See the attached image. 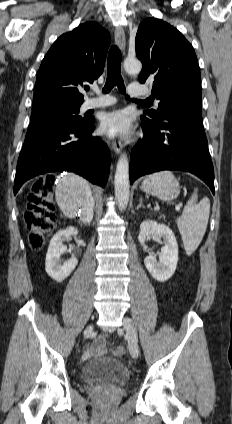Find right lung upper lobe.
<instances>
[{
  "label": "right lung upper lobe",
  "mask_w": 232,
  "mask_h": 424,
  "mask_svg": "<svg viewBox=\"0 0 232 424\" xmlns=\"http://www.w3.org/2000/svg\"><path fill=\"white\" fill-rule=\"evenodd\" d=\"M110 40L108 31L96 22L83 23L60 36L40 65L33 108L81 105L83 83H93L102 74Z\"/></svg>",
  "instance_id": "right-lung-upper-lobe-1"
}]
</instances>
